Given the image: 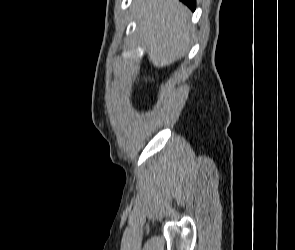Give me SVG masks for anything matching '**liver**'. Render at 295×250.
I'll list each match as a JSON object with an SVG mask.
<instances>
[{
  "label": "liver",
  "mask_w": 295,
  "mask_h": 250,
  "mask_svg": "<svg viewBox=\"0 0 295 250\" xmlns=\"http://www.w3.org/2000/svg\"><path fill=\"white\" fill-rule=\"evenodd\" d=\"M135 18L149 60L157 68L170 65L189 50V11L178 0H135Z\"/></svg>",
  "instance_id": "obj_1"
}]
</instances>
